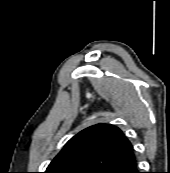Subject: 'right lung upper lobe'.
<instances>
[{
  "label": "right lung upper lobe",
  "instance_id": "cb5924a9",
  "mask_svg": "<svg viewBox=\"0 0 170 173\" xmlns=\"http://www.w3.org/2000/svg\"><path fill=\"white\" fill-rule=\"evenodd\" d=\"M132 157V145L118 127L97 124L71 138L49 164L45 173H103Z\"/></svg>",
  "mask_w": 170,
  "mask_h": 173
}]
</instances>
